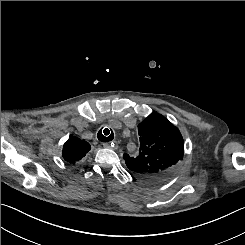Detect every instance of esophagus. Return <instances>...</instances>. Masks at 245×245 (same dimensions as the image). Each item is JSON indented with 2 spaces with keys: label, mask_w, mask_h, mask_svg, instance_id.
I'll use <instances>...</instances> for the list:
<instances>
[{
  "label": "esophagus",
  "mask_w": 245,
  "mask_h": 245,
  "mask_svg": "<svg viewBox=\"0 0 245 245\" xmlns=\"http://www.w3.org/2000/svg\"><path fill=\"white\" fill-rule=\"evenodd\" d=\"M112 146V143L110 144L109 142H104L103 147L105 148H110Z\"/></svg>",
  "instance_id": "obj_1"
}]
</instances>
